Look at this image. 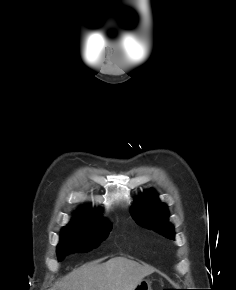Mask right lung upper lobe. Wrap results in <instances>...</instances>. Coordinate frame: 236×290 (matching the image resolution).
Listing matches in <instances>:
<instances>
[{
	"label": "right lung upper lobe",
	"instance_id": "1",
	"mask_svg": "<svg viewBox=\"0 0 236 290\" xmlns=\"http://www.w3.org/2000/svg\"><path fill=\"white\" fill-rule=\"evenodd\" d=\"M98 213H89L88 211L82 210L75 213V218H73V221L71 223H88L93 221H102L99 218H94L92 216L97 215Z\"/></svg>",
	"mask_w": 236,
	"mask_h": 290
}]
</instances>
